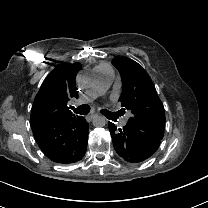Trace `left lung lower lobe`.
<instances>
[{
	"mask_svg": "<svg viewBox=\"0 0 208 208\" xmlns=\"http://www.w3.org/2000/svg\"><path fill=\"white\" fill-rule=\"evenodd\" d=\"M113 145L120 157L131 163H139L150 158L158 149L160 140L141 132L127 123L123 128L108 124Z\"/></svg>",
	"mask_w": 208,
	"mask_h": 208,
	"instance_id": "obj_1",
	"label": "left lung lower lobe"
}]
</instances>
